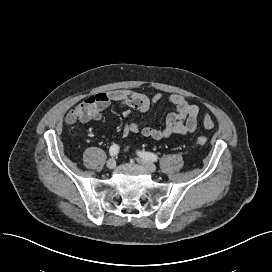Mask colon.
<instances>
[{"label":"colon","instance_id":"colon-1","mask_svg":"<svg viewBox=\"0 0 272 272\" xmlns=\"http://www.w3.org/2000/svg\"><path fill=\"white\" fill-rule=\"evenodd\" d=\"M196 143L200 146H203L207 143V139L206 137L204 136H199L197 139H196Z\"/></svg>","mask_w":272,"mask_h":272}]
</instances>
